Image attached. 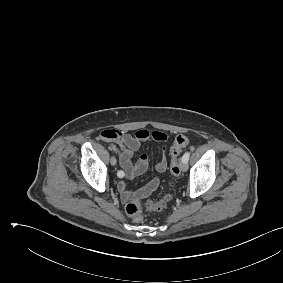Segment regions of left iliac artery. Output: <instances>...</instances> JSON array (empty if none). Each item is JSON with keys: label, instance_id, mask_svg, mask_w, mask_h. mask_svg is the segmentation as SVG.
Masks as SVG:
<instances>
[{"label": "left iliac artery", "instance_id": "1", "mask_svg": "<svg viewBox=\"0 0 283 283\" xmlns=\"http://www.w3.org/2000/svg\"><path fill=\"white\" fill-rule=\"evenodd\" d=\"M190 157V152H186L183 156H182V161L183 162H188Z\"/></svg>", "mask_w": 283, "mask_h": 283}]
</instances>
